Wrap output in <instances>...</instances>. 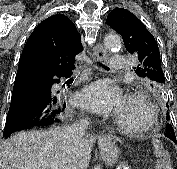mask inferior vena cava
<instances>
[{
  "label": "inferior vena cava",
  "mask_w": 177,
  "mask_h": 169,
  "mask_svg": "<svg viewBox=\"0 0 177 169\" xmlns=\"http://www.w3.org/2000/svg\"><path fill=\"white\" fill-rule=\"evenodd\" d=\"M89 122L86 119L80 120L77 124L65 126L61 129L62 155L66 161L64 169H79L76 151L86 133Z\"/></svg>",
  "instance_id": "obj_1"
}]
</instances>
